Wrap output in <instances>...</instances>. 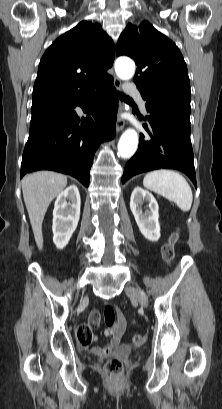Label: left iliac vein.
<instances>
[{
	"mask_svg": "<svg viewBox=\"0 0 222 409\" xmlns=\"http://www.w3.org/2000/svg\"><path fill=\"white\" fill-rule=\"evenodd\" d=\"M125 291L131 299L139 301L142 306L148 305L147 297L141 289L128 286Z\"/></svg>",
	"mask_w": 222,
	"mask_h": 409,
	"instance_id": "4c4485c4",
	"label": "left iliac vein"
}]
</instances>
